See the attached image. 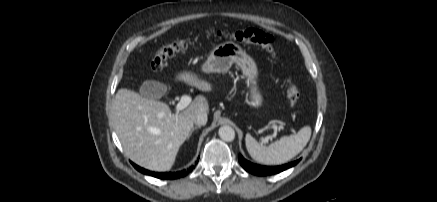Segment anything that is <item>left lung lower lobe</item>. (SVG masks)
Returning a JSON list of instances; mask_svg holds the SVG:
<instances>
[{
    "mask_svg": "<svg viewBox=\"0 0 437 202\" xmlns=\"http://www.w3.org/2000/svg\"><path fill=\"white\" fill-rule=\"evenodd\" d=\"M239 163L241 164V166L248 171L249 173H252L254 175H258V176H267V175H273V174H277L280 173L294 165H296L299 161H294L288 164H284L281 166H274V167H269V166H261V165H257L254 164L252 162L247 161L245 158H243L242 155H239L238 157Z\"/></svg>",
    "mask_w": 437,
    "mask_h": 202,
    "instance_id": "1",
    "label": "left lung lower lobe"
}]
</instances>
